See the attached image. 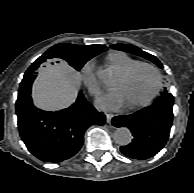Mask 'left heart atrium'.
I'll list each match as a JSON object with an SVG mask.
<instances>
[{
	"mask_svg": "<svg viewBox=\"0 0 194 193\" xmlns=\"http://www.w3.org/2000/svg\"><path fill=\"white\" fill-rule=\"evenodd\" d=\"M124 105L123 97L119 90L108 92L98 100V106L105 110H115Z\"/></svg>",
	"mask_w": 194,
	"mask_h": 193,
	"instance_id": "1",
	"label": "left heart atrium"
}]
</instances>
